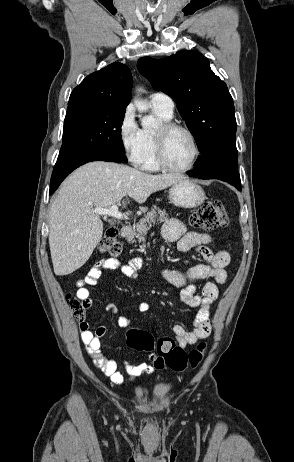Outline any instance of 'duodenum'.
<instances>
[{"label":"duodenum","mask_w":294,"mask_h":462,"mask_svg":"<svg viewBox=\"0 0 294 462\" xmlns=\"http://www.w3.org/2000/svg\"><path fill=\"white\" fill-rule=\"evenodd\" d=\"M132 227L130 225H125L121 228L120 234L122 237L126 238L132 234Z\"/></svg>","instance_id":"1"}]
</instances>
